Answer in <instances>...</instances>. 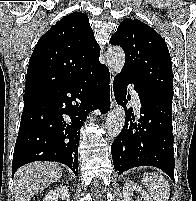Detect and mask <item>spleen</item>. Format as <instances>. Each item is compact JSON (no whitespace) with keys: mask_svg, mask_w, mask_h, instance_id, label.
<instances>
[{"mask_svg":"<svg viewBox=\"0 0 196 201\" xmlns=\"http://www.w3.org/2000/svg\"><path fill=\"white\" fill-rule=\"evenodd\" d=\"M142 182L155 201H168L170 197V186L163 176L146 173L143 176Z\"/></svg>","mask_w":196,"mask_h":201,"instance_id":"spleen-1","label":"spleen"}]
</instances>
